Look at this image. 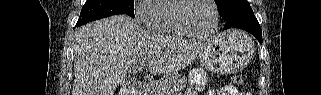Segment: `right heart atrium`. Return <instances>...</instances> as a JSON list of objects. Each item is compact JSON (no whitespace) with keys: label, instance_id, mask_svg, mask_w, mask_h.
Returning <instances> with one entry per match:
<instances>
[{"label":"right heart atrium","instance_id":"right-heart-atrium-1","mask_svg":"<svg viewBox=\"0 0 321 95\" xmlns=\"http://www.w3.org/2000/svg\"><path fill=\"white\" fill-rule=\"evenodd\" d=\"M156 0H140L134 5V17L140 24H147L153 11Z\"/></svg>","mask_w":321,"mask_h":95}]
</instances>
